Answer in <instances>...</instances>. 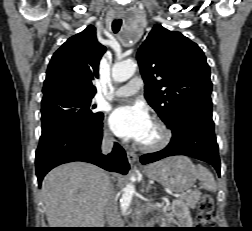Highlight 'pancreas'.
<instances>
[{"mask_svg": "<svg viewBox=\"0 0 252 231\" xmlns=\"http://www.w3.org/2000/svg\"><path fill=\"white\" fill-rule=\"evenodd\" d=\"M201 197V192L196 190L192 192L191 194L185 195L182 198V201L189 207L195 208L196 204L198 203L199 199Z\"/></svg>", "mask_w": 252, "mask_h": 231, "instance_id": "1", "label": "pancreas"}]
</instances>
